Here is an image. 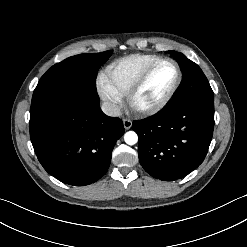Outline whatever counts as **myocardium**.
Instances as JSON below:
<instances>
[{"label":"myocardium","mask_w":247,"mask_h":247,"mask_svg":"<svg viewBox=\"0 0 247 247\" xmlns=\"http://www.w3.org/2000/svg\"><path fill=\"white\" fill-rule=\"evenodd\" d=\"M162 62H170L171 64L174 65L176 69V79L171 87V89L159 100L152 102L150 104H147L145 106H141L136 102V96L138 95L140 89L142 86L145 84L146 80L148 79L149 75L152 73V71L155 69V67L162 63ZM182 81V71L180 68V65L178 62L172 58L169 57H160L154 62H152L139 76V78L135 81V83L132 85V87L129 89L128 93L126 94L127 96V101L130 105V107L142 114H154L160 110H162L173 98L175 93L177 92L180 84Z\"/></svg>","instance_id":"myocardium-1"}]
</instances>
